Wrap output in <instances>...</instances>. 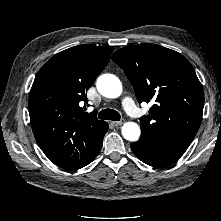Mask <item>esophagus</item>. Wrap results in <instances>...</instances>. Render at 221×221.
<instances>
[{
  "label": "esophagus",
  "instance_id": "esophagus-1",
  "mask_svg": "<svg viewBox=\"0 0 221 221\" xmlns=\"http://www.w3.org/2000/svg\"><path fill=\"white\" fill-rule=\"evenodd\" d=\"M124 120H121V121H115V122H112V124L114 125V126H121L122 124H124Z\"/></svg>",
  "mask_w": 221,
  "mask_h": 221
}]
</instances>
